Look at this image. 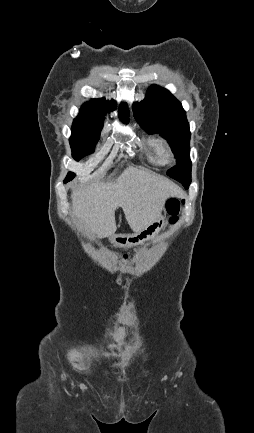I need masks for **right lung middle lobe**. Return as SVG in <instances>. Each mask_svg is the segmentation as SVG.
Here are the masks:
<instances>
[{
	"mask_svg": "<svg viewBox=\"0 0 254 433\" xmlns=\"http://www.w3.org/2000/svg\"><path fill=\"white\" fill-rule=\"evenodd\" d=\"M103 115L104 113L98 111L80 110V114L73 122L70 138L72 155L75 160L94 151V145L104 125Z\"/></svg>",
	"mask_w": 254,
	"mask_h": 433,
	"instance_id": "dd1d6c3e",
	"label": "right lung middle lobe"
}]
</instances>
